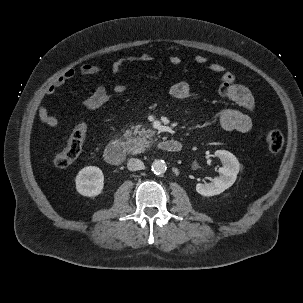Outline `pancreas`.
I'll list each match as a JSON object with an SVG mask.
<instances>
[{
    "instance_id": "cf45deb5",
    "label": "pancreas",
    "mask_w": 303,
    "mask_h": 303,
    "mask_svg": "<svg viewBox=\"0 0 303 303\" xmlns=\"http://www.w3.org/2000/svg\"><path fill=\"white\" fill-rule=\"evenodd\" d=\"M154 134L155 132L153 130H145L144 128H141L140 125L133 126L124 134L128 140V151L132 154L144 151V149L149 147L150 143H152Z\"/></svg>"
}]
</instances>
